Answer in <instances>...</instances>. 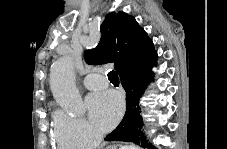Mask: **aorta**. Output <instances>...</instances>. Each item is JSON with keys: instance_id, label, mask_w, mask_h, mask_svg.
<instances>
[{"instance_id": "762f6f07", "label": "aorta", "mask_w": 227, "mask_h": 149, "mask_svg": "<svg viewBox=\"0 0 227 149\" xmlns=\"http://www.w3.org/2000/svg\"><path fill=\"white\" fill-rule=\"evenodd\" d=\"M50 86L56 102L70 115L84 113L82 97L75 85L73 62L69 57L51 66Z\"/></svg>"}]
</instances>
